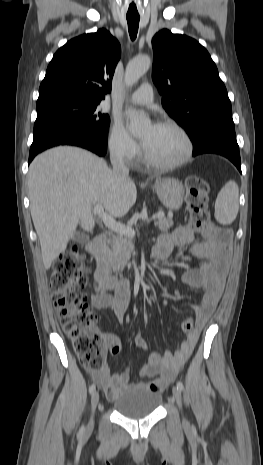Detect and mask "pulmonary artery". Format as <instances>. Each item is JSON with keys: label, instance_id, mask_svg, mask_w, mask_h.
<instances>
[{"label": "pulmonary artery", "instance_id": "obj_1", "mask_svg": "<svg viewBox=\"0 0 263 465\" xmlns=\"http://www.w3.org/2000/svg\"><path fill=\"white\" fill-rule=\"evenodd\" d=\"M137 105H147L153 101V88L149 83H143L130 97Z\"/></svg>", "mask_w": 263, "mask_h": 465}]
</instances>
